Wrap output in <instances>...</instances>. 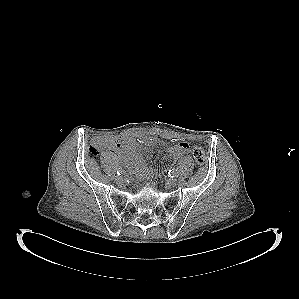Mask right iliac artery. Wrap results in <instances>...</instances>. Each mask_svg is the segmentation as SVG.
Listing matches in <instances>:
<instances>
[{
  "mask_svg": "<svg viewBox=\"0 0 299 299\" xmlns=\"http://www.w3.org/2000/svg\"><path fill=\"white\" fill-rule=\"evenodd\" d=\"M124 173V170H122V169H119L118 171H117V174L118 175H122Z\"/></svg>",
  "mask_w": 299,
  "mask_h": 299,
  "instance_id": "right-iliac-artery-1",
  "label": "right iliac artery"
}]
</instances>
